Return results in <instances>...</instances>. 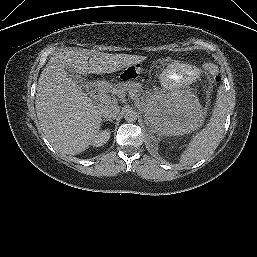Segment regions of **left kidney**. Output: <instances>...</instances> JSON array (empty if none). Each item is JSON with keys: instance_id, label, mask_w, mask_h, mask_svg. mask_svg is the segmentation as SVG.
<instances>
[{"instance_id": "obj_1", "label": "left kidney", "mask_w": 257, "mask_h": 257, "mask_svg": "<svg viewBox=\"0 0 257 257\" xmlns=\"http://www.w3.org/2000/svg\"><path fill=\"white\" fill-rule=\"evenodd\" d=\"M195 95L171 92L152 98L145 110L146 124L159 136H179L196 130L202 111Z\"/></svg>"}]
</instances>
